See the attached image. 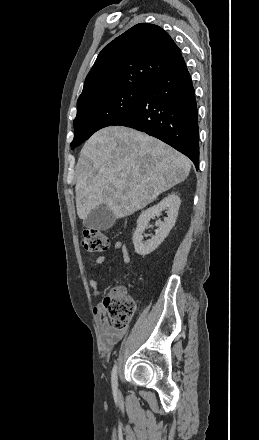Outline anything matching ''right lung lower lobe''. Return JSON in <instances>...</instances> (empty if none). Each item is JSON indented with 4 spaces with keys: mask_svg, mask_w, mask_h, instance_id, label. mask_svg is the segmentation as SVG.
<instances>
[{
    "mask_svg": "<svg viewBox=\"0 0 259 440\" xmlns=\"http://www.w3.org/2000/svg\"><path fill=\"white\" fill-rule=\"evenodd\" d=\"M113 125L131 127L169 144L199 167L195 91L183 57L147 89L135 108Z\"/></svg>",
    "mask_w": 259,
    "mask_h": 440,
    "instance_id": "obj_1",
    "label": "right lung lower lobe"
}]
</instances>
